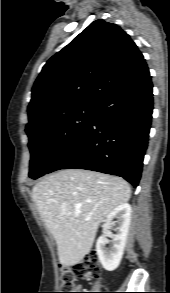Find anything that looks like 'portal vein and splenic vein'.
I'll return each mask as SVG.
<instances>
[{"mask_svg": "<svg viewBox=\"0 0 170 293\" xmlns=\"http://www.w3.org/2000/svg\"><path fill=\"white\" fill-rule=\"evenodd\" d=\"M62 212H63V214H68V213L66 212V210H63Z\"/></svg>", "mask_w": 170, "mask_h": 293, "instance_id": "1", "label": "portal vein and splenic vein"}]
</instances>
